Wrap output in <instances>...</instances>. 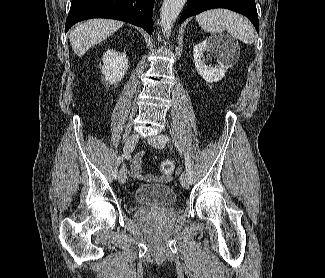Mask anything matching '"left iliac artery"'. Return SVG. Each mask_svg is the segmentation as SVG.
Returning a JSON list of instances; mask_svg holds the SVG:
<instances>
[{"mask_svg":"<svg viewBox=\"0 0 325 278\" xmlns=\"http://www.w3.org/2000/svg\"><path fill=\"white\" fill-rule=\"evenodd\" d=\"M159 140L163 143H166L170 141V138L167 135H160ZM185 166H186V173L188 176L189 183L192 184L193 178H192L191 165L188 156L187 157L185 156Z\"/></svg>","mask_w":325,"mask_h":278,"instance_id":"44dca946","label":"left iliac artery"}]
</instances>
